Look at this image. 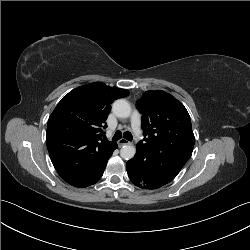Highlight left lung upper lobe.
<instances>
[{"label": "left lung upper lobe", "mask_w": 250, "mask_h": 250, "mask_svg": "<svg viewBox=\"0 0 250 250\" xmlns=\"http://www.w3.org/2000/svg\"><path fill=\"white\" fill-rule=\"evenodd\" d=\"M145 139L137 144L154 162L182 169L192 155L195 137L184 105L164 91H146L136 104Z\"/></svg>", "instance_id": "5c2ea615"}]
</instances>
